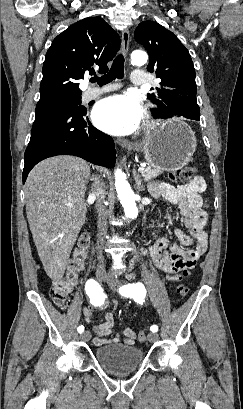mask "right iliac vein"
<instances>
[{"label":"right iliac vein","mask_w":243,"mask_h":409,"mask_svg":"<svg viewBox=\"0 0 243 409\" xmlns=\"http://www.w3.org/2000/svg\"><path fill=\"white\" fill-rule=\"evenodd\" d=\"M107 274L104 271H98L96 273V278L98 281L103 282L107 279ZM91 338V333L89 331H85L82 335H81V339L83 341H89Z\"/></svg>","instance_id":"right-iliac-vein-1"}]
</instances>
